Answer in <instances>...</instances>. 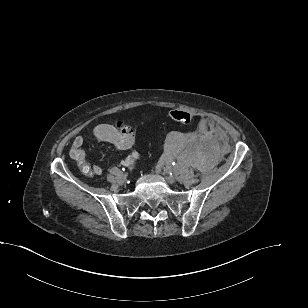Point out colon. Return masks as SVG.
<instances>
[{"label":"colon","mask_w":308,"mask_h":308,"mask_svg":"<svg viewBox=\"0 0 308 308\" xmlns=\"http://www.w3.org/2000/svg\"><path fill=\"white\" fill-rule=\"evenodd\" d=\"M170 117L173 121L182 124V125H189L191 123H193L194 121V116L188 112L185 111H181V110H173L170 112ZM81 166V170L86 173L89 174L90 170L87 164H85V162H81L80 163Z\"/></svg>","instance_id":"obj_1"}]
</instances>
